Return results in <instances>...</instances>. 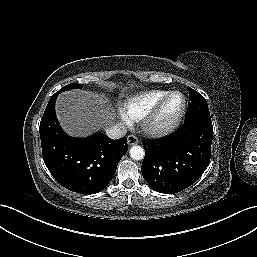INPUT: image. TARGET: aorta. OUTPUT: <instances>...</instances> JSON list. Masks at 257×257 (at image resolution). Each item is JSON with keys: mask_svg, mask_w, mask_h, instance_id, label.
Masks as SVG:
<instances>
[{"mask_svg": "<svg viewBox=\"0 0 257 257\" xmlns=\"http://www.w3.org/2000/svg\"><path fill=\"white\" fill-rule=\"evenodd\" d=\"M145 151L141 146L135 145L130 149V157L134 160H141L144 158Z\"/></svg>", "mask_w": 257, "mask_h": 257, "instance_id": "1", "label": "aorta"}]
</instances>
